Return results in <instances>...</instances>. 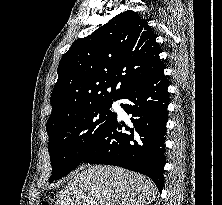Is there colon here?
<instances>
[{
	"mask_svg": "<svg viewBox=\"0 0 222 205\" xmlns=\"http://www.w3.org/2000/svg\"><path fill=\"white\" fill-rule=\"evenodd\" d=\"M43 205H49V204H47V203H44Z\"/></svg>",
	"mask_w": 222,
	"mask_h": 205,
	"instance_id": "5ec220e1",
	"label": "colon"
}]
</instances>
